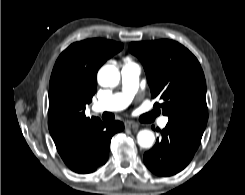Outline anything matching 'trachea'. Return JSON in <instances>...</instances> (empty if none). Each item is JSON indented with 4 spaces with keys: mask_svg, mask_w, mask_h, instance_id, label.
I'll return each mask as SVG.
<instances>
[{
    "mask_svg": "<svg viewBox=\"0 0 245 195\" xmlns=\"http://www.w3.org/2000/svg\"><path fill=\"white\" fill-rule=\"evenodd\" d=\"M102 118H103L104 120H110V119L113 118V115H112V114H109V113H104V114L102 115Z\"/></svg>",
    "mask_w": 245,
    "mask_h": 195,
    "instance_id": "obj_1",
    "label": "trachea"
}]
</instances>
